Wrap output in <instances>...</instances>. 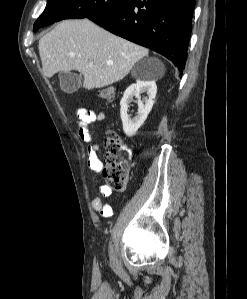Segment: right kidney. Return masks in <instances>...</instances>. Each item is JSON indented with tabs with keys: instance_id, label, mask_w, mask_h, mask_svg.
<instances>
[{
	"instance_id": "right-kidney-1",
	"label": "right kidney",
	"mask_w": 247,
	"mask_h": 299,
	"mask_svg": "<svg viewBox=\"0 0 247 299\" xmlns=\"http://www.w3.org/2000/svg\"><path fill=\"white\" fill-rule=\"evenodd\" d=\"M147 93V97L141 100V93ZM157 85L154 81H138L130 85L120 102V116L123 123V131L128 137L136 134L137 130L142 126L151 111L154 99L156 97ZM133 97L137 98L138 112L137 115L131 119L128 115L129 103L133 101Z\"/></svg>"
}]
</instances>
